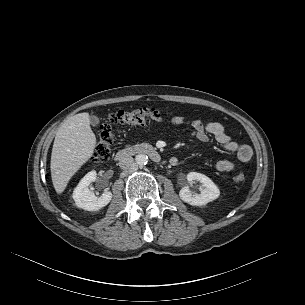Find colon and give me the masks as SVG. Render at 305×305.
Segmentation results:
<instances>
[{
    "mask_svg": "<svg viewBox=\"0 0 305 305\" xmlns=\"http://www.w3.org/2000/svg\"><path fill=\"white\" fill-rule=\"evenodd\" d=\"M164 111L156 108L143 107L134 110H119L111 113L100 126L98 140L95 145L92 161L98 163L110 156L111 146L113 144V127L121 126H137L144 127L152 120H159L163 117ZM245 181L244 174L240 173L234 177L235 183H243Z\"/></svg>",
    "mask_w": 305,
    "mask_h": 305,
    "instance_id": "colon-1",
    "label": "colon"
}]
</instances>
